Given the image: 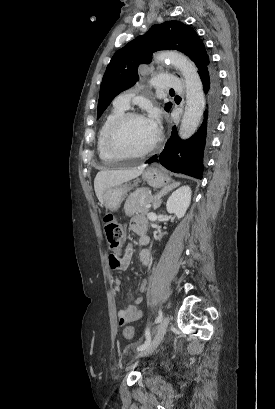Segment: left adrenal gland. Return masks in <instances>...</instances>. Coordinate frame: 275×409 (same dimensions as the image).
Masks as SVG:
<instances>
[{
  "mask_svg": "<svg viewBox=\"0 0 275 409\" xmlns=\"http://www.w3.org/2000/svg\"><path fill=\"white\" fill-rule=\"evenodd\" d=\"M179 184H180V182H177V180H172V182H170V184H167V186H163V188H161V190H159V192H157V194H155V196L153 198V209H154V211H156V209H158V207H160L162 196H164V194H167V192H170V190H173V188H176V186H179Z\"/></svg>",
  "mask_w": 275,
  "mask_h": 409,
  "instance_id": "obj_1",
  "label": "left adrenal gland"
}]
</instances>
